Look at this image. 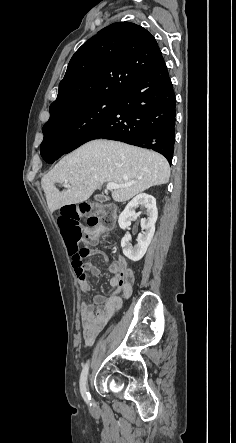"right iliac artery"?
<instances>
[{"label":"right iliac artery","instance_id":"1","mask_svg":"<svg viewBox=\"0 0 236 443\" xmlns=\"http://www.w3.org/2000/svg\"><path fill=\"white\" fill-rule=\"evenodd\" d=\"M88 363L84 366L81 376H80V391L84 400L89 403L91 396L87 391V375H88Z\"/></svg>","mask_w":236,"mask_h":443}]
</instances>
